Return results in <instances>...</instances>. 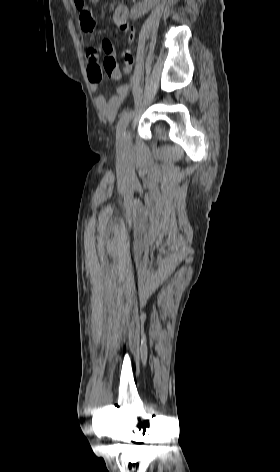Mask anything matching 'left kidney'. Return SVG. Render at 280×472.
<instances>
[{"mask_svg":"<svg viewBox=\"0 0 280 472\" xmlns=\"http://www.w3.org/2000/svg\"><path fill=\"white\" fill-rule=\"evenodd\" d=\"M157 0H144V2L134 5L131 9L130 17L137 19L147 13L156 3Z\"/></svg>","mask_w":280,"mask_h":472,"instance_id":"1","label":"left kidney"}]
</instances>
